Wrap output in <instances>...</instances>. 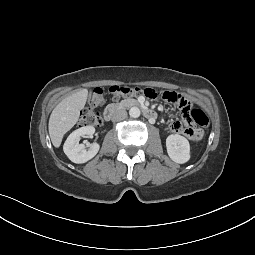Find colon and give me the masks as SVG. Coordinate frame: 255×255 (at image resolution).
I'll list each match as a JSON object with an SVG mask.
<instances>
[{
  "mask_svg": "<svg viewBox=\"0 0 255 255\" xmlns=\"http://www.w3.org/2000/svg\"><path fill=\"white\" fill-rule=\"evenodd\" d=\"M109 92L114 97L144 94L150 99L162 98L172 103L179 102V106L183 107L182 111L186 118V124L183 127L182 132L192 142H199L203 139L204 134L202 128L208 125L209 118L204 111L200 109H192V99L187 98L186 95H181L180 92H175L173 94L168 91H156L152 88L141 89L139 87L129 86H112L110 87ZM103 99L104 95L102 89L95 88L89 106L81 114L79 121L80 127L100 125L101 118L95 109L102 104ZM192 122L195 123V125H193Z\"/></svg>",
  "mask_w": 255,
  "mask_h": 255,
  "instance_id": "5ec220e1",
  "label": "colon"
}]
</instances>
